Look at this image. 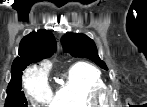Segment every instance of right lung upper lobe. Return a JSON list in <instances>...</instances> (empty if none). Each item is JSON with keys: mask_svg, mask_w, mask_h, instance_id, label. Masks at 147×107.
Listing matches in <instances>:
<instances>
[{"mask_svg": "<svg viewBox=\"0 0 147 107\" xmlns=\"http://www.w3.org/2000/svg\"><path fill=\"white\" fill-rule=\"evenodd\" d=\"M55 50L56 40L49 30L40 29L31 32L20 42L19 56L13 61L11 76H15L25 65L51 57Z\"/></svg>", "mask_w": 147, "mask_h": 107, "instance_id": "cb5924a9", "label": "right lung upper lobe"}]
</instances>
